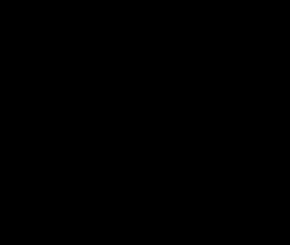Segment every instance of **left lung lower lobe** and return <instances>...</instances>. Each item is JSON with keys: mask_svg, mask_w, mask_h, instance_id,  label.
<instances>
[{"mask_svg": "<svg viewBox=\"0 0 290 245\" xmlns=\"http://www.w3.org/2000/svg\"><path fill=\"white\" fill-rule=\"evenodd\" d=\"M247 131H248V121L246 124V129H245V133L242 136V138L240 139V141L238 142V144L236 145L235 149L226 157H224L223 159H221L220 161H218L217 163H215L214 165H212L210 167V169L206 172H195V171H191V170H187V169H183L180 168L172 163H170L162 154L159 146H158V155H159V159L161 162V165L171 171L174 174H177L181 177L187 178V179H200V180H204V179H208L211 178L213 176H215L216 174H218L220 171H222L225 167H227L231 162H233V160L236 158V156L238 155V153L240 152L246 138H247Z\"/></svg>", "mask_w": 290, "mask_h": 245, "instance_id": "left-lung-lower-lobe-1", "label": "left lung lower lobe"}]
</instances>
